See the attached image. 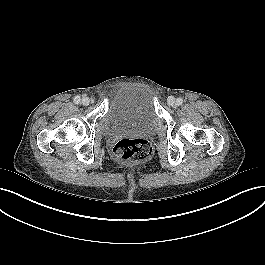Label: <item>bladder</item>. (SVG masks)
I'll return each instance as SVG.
<instances>
[{"mask_svg":"<svg viewBox=\"0 0 265 265\" xmlns=\"http://www.w3.org/2000/svg\"><path fill=\"white\" fill-rule=\"evenodd\" d=\"M160 123L149 86L123 85L111 97L104 115L105 133H149Z\"/></svg>","mask_w":265,"mask_h":265,"instance_id":"obj_1","label":"bladder"}]
</instances>
